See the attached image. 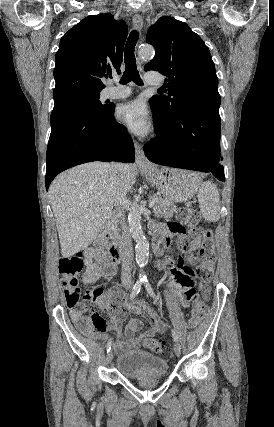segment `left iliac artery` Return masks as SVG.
<instances>
[{
  "label": "left iliac artery",
  "mask_w": 274,
  "mask_h": 427,
  "mask_svg": "<svg viewBox=\"0 0 274 427\" xmlns=\"http://www.w3.org/2000/svg\"><path fill=\"white\" fill-rule=\"evenodd\" d=\"M145 288H146V290H147L148 294H149L152 298H154V299H155V301H156V300H157V297H156V295H155V293H154V291H153V288H152L151 284L148 282V280H145ZM172 337H173L174 341L178 342V336H177V334H176V332H175V330H174V329H172Z\"/></svg>",
  "instance_id": "left-iliac-artery-1"
}]
</instances>
